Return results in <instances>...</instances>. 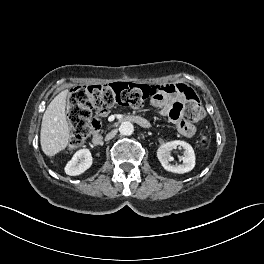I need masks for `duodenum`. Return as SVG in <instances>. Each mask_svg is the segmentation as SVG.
I'll return each instance as SVG.
<instances>
[{"mask_svg": "<svg viewBox=\"0 0 264 264\" xmlns=\"http://www.w3.org/2000/svg\"><path fill=\"white\" fill-rule=\"evenodd\" d=\"M125 120L126 121H130V122H133V123H136L139 126L144 127V128L150 127V122L147 119H145V118H143L141 116L128 115V116L125 117ZM91 142L95 146H98V145L102 144V142H103V136H102V134H100L98 132L95 133L92 136Z\"/></svg>", "mask_w": 264, "mask_h": 264, "instance_id": "duodenum-1", "label": "duodenum"}]
</instances>
